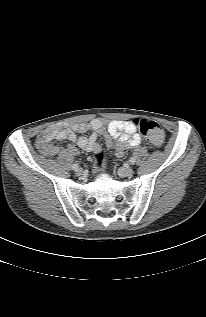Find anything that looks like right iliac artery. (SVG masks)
Wrapping results in <instances>:
<instances>
[{
  "label": "right iliac artery",
  "instance_id": "82829eb1",
  "mask_svg": "<svg viewBox=\"0 0 206 317\" xmlns=\"http://www.w3.org/2000/svg\"><path fill=\"white\" fill-rule=\"evenodd\" d=\"M78 168H79V166H78L77 164H73V165H72V169H73V170H77Z\"/></svg>",
  "mask_w": 206,
  "mask_h": 317
}]
</instances>
